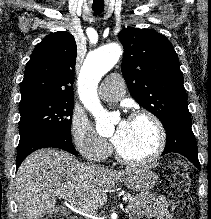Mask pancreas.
Listing matches in <instances>:
<instances>
[{
    "label": "pancreas",
    "instance_id": "1",
    "mask_svg": "<svg viewBox=\"0 0 211 219\" xmlns=\"http://www.w3.org/2000/svg\"><path fill=\"white\" fill-rule=\"evenodd\" d=\"M148 194H137V195H131L127 194L126 197L128 199L129 205L132 207V209H136L140 207L142 204L146 203Z\"/></svg>",
    "mask_w": 211,
    "mask_h": 219
}]
</instances>
